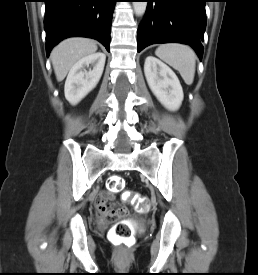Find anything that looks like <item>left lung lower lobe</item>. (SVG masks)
<instances>
[{"mask_svg": "<svg viewBox=\"0 0 258 275\" xmlns=\"http://www.w3.org/2000/svg\"><path fill=\"white\" fill-rule=\"evenodd\" d=\"M145 16L138 27V52L151 44L177 42L203 55L206 0H146Z\"/></svg>", "mask_w": 258, "mask_h": 275, "instance_id": "left-lung-lower-lobe-1", "label": "left lung lower lobe"}]
</instances>
